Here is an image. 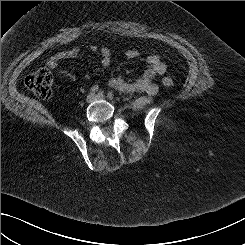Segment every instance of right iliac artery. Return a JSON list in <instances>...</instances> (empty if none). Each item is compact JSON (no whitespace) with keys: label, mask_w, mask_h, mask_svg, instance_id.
<instances>
[{"label":"right iliac artery","mask_w":245,"mask_h":245,"mask_svg":"<svg viewBox=\"0 0 245 245\" xmlns=\"http://www.w3.org/2000/svg\"><path fill=\"white\" fill-rule=\"evenodd\" d=\"M98 95H103V91L100 90V91L98 92Z\"/></svg>","instance_id":"1"}]
</instances>
